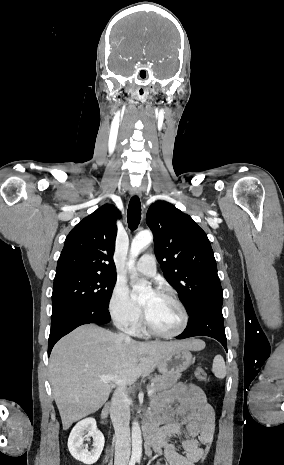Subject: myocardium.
Returning <instances> with one entry per match:
<instances>
[{
    "instance_id": "myocardium-1",
    "label": "myocardium",
    "mask_w": 284,
    "mask_h": 465,
    "mask_svg": "<svg viewBox=\"0 0 284 465\" xmlns=\"http://www.w3.org/2000/svg\"><path fill=\"white\" fill-rule=\"evenodd\" d=\"M156 294L166 297L178 308L181 314V325L179 329L174 333H171V334L157 333L150 327V325L147 322L148 318L145 316L144 312H142V318H141L142 321L140 323L142 329L144 330L146 334H148L149 336L153 338H157V339L171 340V339L180 337L185 332L188 326V323H189V315H188L186 308L175 295H173L171 292L165 289L158 290Z\"/></svg>"
}]
</instances>
